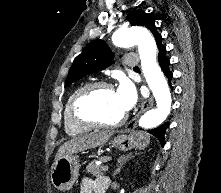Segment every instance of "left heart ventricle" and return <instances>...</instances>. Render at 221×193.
<instances>
[{
	"mask_svg": "<svg viewBox=\"0 0 221 193\" xmlns=\"http://www.w3.org/2000/svg\"><path fill=\"white\" fill-rule=\"evenodd\" d=\"M82 111L106 122H114L125 114L117 101L114 89L96 91L83 102Z\"/></svg>",
	"mask_w": 221,
	"mask_h": 193,
	"instance_id": "1",
	"label": "left heart ventricle"
}]
</instances>
